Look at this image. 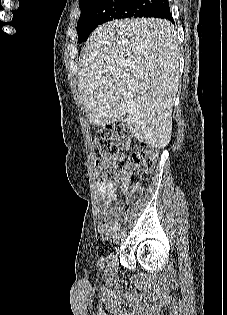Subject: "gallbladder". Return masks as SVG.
<instances>
[{
  "label": "gallbladder",
  "mask_w": 227,
  "mask_h": 315,
  "mask_svg": "<svg viewBox=\"0 0 227 315\" xmlns=\"http://www.w3.org/2000/svg\"><path fill=\"white\" fill-rule=\"evenodd\" d=\"M121 120L124 121L125 120V116Z\"/></svg>",
  "instance_id": "obj_1"
}]
</instances>
